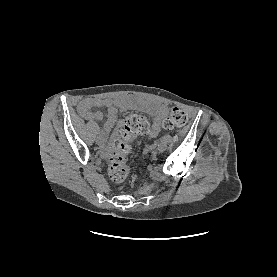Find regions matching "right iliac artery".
<instances>
[{"mask_svg": "<svg viewBox=\"0 0 277 277\" xmlns=\"http://www.w3.org/2000/svg\"><path fill=\"white\" fill-rule=\"evenodd\" d=\"M104 133L102 131L98 132V137H103Z\"/></svg>", "mask_w": 277, "mask_h": 277, "instance_id": "right-iliac-artery-1", "label": "right iliac artery"}]
</instances>
